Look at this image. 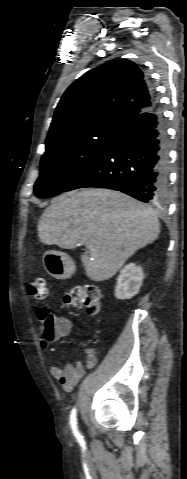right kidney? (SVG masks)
I'll use <instances>...</instances> for the list:
<instances>
[{"instance_id":"right-kidney-1","label":"right kidney","mask_w":187,"mask_h":479,"mask_svg":"<svg viewBox=\"0 0 187 479\" xmlns=\"http://www.w3.org/2000/svg\"><path fill=\"white\" fill-rule=\"evenodd\" d=\"M143 279L141 266L134 263L126 265L117 278L115 297L119 300L131 299L139 292Z\"/></svg>"}]
</instances>
